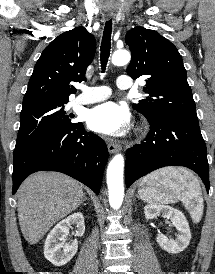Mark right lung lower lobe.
<instances>
[{"mask_svg": "<svg viewBox=\"0 0 215 274\" xmlns=\"http://www.w3.org/2000/svg\"><path fill=\"white\" fill-rule=\"evenodd\" d=\"M108 160L105 142L85 131L82 123L46 137L14 158L13 190L39 170L65 173L99 193L103 170Z\"/></svg>", "mask_w": 215, "mask_h": 274, "instance_id": "1", "label": "right lung lower lobe"}]
</instances>
